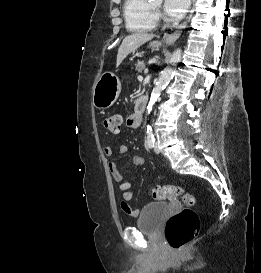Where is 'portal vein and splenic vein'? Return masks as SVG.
Masks as SVG:
<instances>
[{
  "instance_id": "1",
  "label": "portal vein and splenic vein",
  "mask_w": 261,
  "mask_h": 273,
  "mask_svg": "<svg viewBox=\"0 0 261 273\" xmlns=\"http://www.w3.org/2000/svg\"><path fill=\"white\" fill-rule=\"evenodd\" d=\"M143 79V77L142 76H138V80H142Z\"/></svg>"
}]
</instances>
